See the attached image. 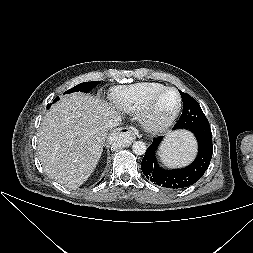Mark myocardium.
Returning <instances> with one entry per match:
<instances>
[{"instance_id":"1","label":"myocardium","mask_w":253,"mask_h":253,"mask_svg":"<svg viewBox=\"0 0 253 253\" xmlns=\"http://www.w3.org/2000/svg\"><path fill=\"white\" fill-rule=\"evenodd\" d=\"M167 91H174L178 97V103L175 110L165 119L156 120L154 110L160 97ZM182 107V97L178 89L175 87H165L153 94L146 102L142 112L140 113V121L142 126L151 133H160L167 129L177 118Z\"/></svg>"}]
</instances>
